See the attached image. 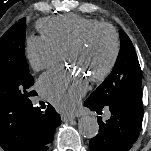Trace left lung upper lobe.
Returning <instances> with one entry per match:
<instances>
[{"label": "left lung upper lobe", "instance_id": "obj_1", "mask_svg": "<svg viewBox=\"0 0 151 151\" xmlns=\"http://www.w3.org/2000/svg\"><path fill=\"white\" fill-rule=\"evenodd\" d=\"M120 51L111 74L89 96L100 108L118 101L133 85H141L142 72L134 46L128 35L120 30Z\"/></svg>", "mask_w": 151, "mask_h": 151}]
</instances>
